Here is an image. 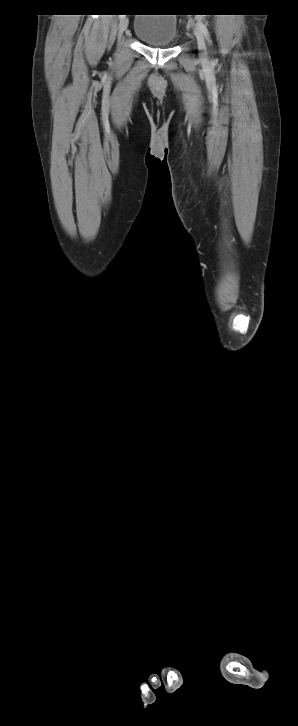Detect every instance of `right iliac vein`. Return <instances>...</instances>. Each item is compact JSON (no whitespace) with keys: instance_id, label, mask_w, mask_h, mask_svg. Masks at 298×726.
Instances as JSON below:
<instances>
[{"instance_id":"right-iliac-vein-1","label":"right iliac vein","mask_w":298,"mask_h":726,"mask_svg":"<svg viewBox=\"0 0 298 726\" xmlns=\"http://www.w3.org/2000/svg\"><path fill=\"white\" fill-rule=\"evenodd\" d=\"M127 27H128V19L126 17H122L119 22V28H118V33L120 36L124 33V31L127 29Z\"/></svg>"}]
</instances>
